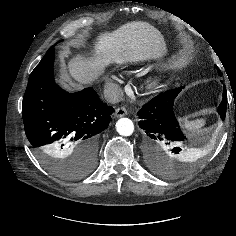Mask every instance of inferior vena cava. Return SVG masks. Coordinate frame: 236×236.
<instances>
[{"mask_svg":"<svg viewBox=\"0 0 236 236\" xmlns=\"http://www.w3.org/2000/svg\"><path fill=\"white\" fill-rule=\"evenodd\" d=\"M104 97L108 103H118L123 98V90L117 84L111 85L104 90Z\"/></svg>","mask_w":236,"mask_h":236,"instance_id":"602c4592","label":"inferior vena cava"}]
</instances>
